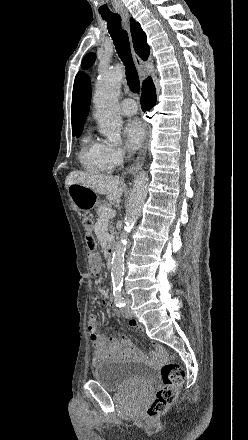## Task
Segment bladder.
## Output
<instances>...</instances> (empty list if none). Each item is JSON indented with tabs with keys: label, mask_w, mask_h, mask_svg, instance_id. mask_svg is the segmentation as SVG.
<instances>
[{
	"label": "bladder",
	"mask_w": 248,
	"mask_h": 440,
	"mask_svg": "<svg viewBox=\"0 0 248 440\" xmlns=\"http://www.w3.org/2000/svg\"><path fill=\"white\" fill-rule=\"evenodd\" d=\"M93 379L108 391H146L153 383L154 370L132 359H118L98 365L92 372Z\"/></svg>",
	"instance_id": "1"
}]
</instances>
